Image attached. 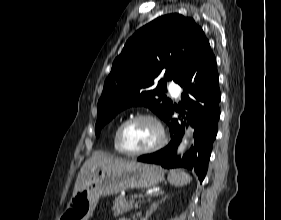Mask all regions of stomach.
Listing matches in <instances>:
<instances>
[{
  "label": "stomach",
  "mask_w": 281,
  "mask_h": 220,
  "mask_svg": "<svg viewBox=\"0 0 281 220\" xmlns=\"http://www.w3.org/2000/svg\"><path fill=\"white\" fill-rule=\"evenodd\" d=\"M164 177L156 165L133 162L117 169H98L72 197L60 220H88L101 196L130 188H150Z\"/></svg>",
  "instance_id": "stomach-1"
}]
</instances>
